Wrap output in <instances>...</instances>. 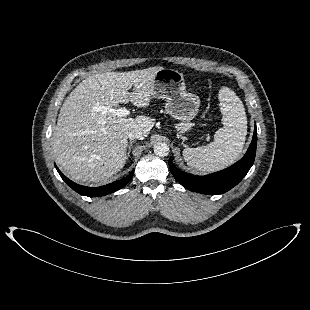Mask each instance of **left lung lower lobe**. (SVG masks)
<instances>
[{"instance_id": "0a47b994", "label": "left lung lower lobe", "mask_w": 310, "mask_h": 310, "mask_svg": "<svg viewBox=\"0 0 310 310\" xmlns=\"http://www.w3.org/2000/svg\"><path fill=\"white\" fill-rule=\"evenodd\" d=\"M256 145L255 126L253 139L246 154L240 161L227 169L205 176H195L179 170L171 161H169V167L175 179L188 190L208 195L223 194L236 186L248 173L254 163Z\"/></svg>"}]
</instances>
